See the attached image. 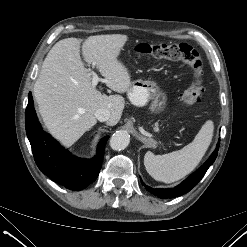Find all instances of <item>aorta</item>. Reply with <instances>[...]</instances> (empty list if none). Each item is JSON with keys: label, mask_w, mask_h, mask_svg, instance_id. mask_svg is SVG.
I'll use <instances>...</instances> for the list:
<instances>
[{"label": "aorta", "mask_w": 247, "mask_h": 247, "mask_svg": "<svg viewBox=\"0 0 247 247\" xmlns=\"http://www.w3.org/2000/svg\"><path fill=\"white\" fill-rule=\"evenodd\" d=\"M130 142V135L125 131H117L110 138V147L113 150H124Z\"/></svg>", "instance_id": "762f6f07"}]
</instances>
